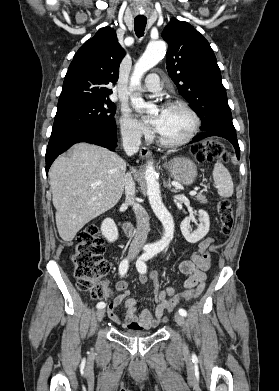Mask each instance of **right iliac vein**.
Segmentation results:
<instances>
[{
  "label": "right iliac vein",
  "instance_id": "1",
  "mask_svg": "<svg viewBox=\"0 0 279 391\" xmlns=\"http://www.w3.org/2000/svg\"><path fill=\"white\" fill-rule=\"evenodd\" d=\"M104 315H105V310H103V309L98 310L96 313L97 322H101Z\"/></svg>",
  "mask_w": 279,
  "mask_h": 391
}]
</instances>
